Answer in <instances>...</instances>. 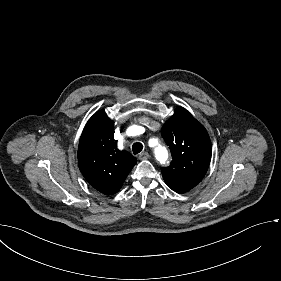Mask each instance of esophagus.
<instances>
[{
	"label": "esophagus",
	"mask_w": 281,
	"mask_h": 281,
	"mask_svg": "<svg viewBox=\"0 0 281 281\" xmlns=\"http://www.w3.org/2000/svg\"><path fill=\"white\" fill-rule=\"evenodd\" d=\"M148 158H149L148 152H143V153H141V154L139 155V159H140V160H146V159H148Z\"/></svg>",
	"instance_id": "esophagus-1"
}]
</instances>
